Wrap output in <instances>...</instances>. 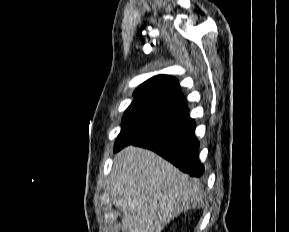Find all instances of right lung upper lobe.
<instances>
[{"label": "right lung upper lobe", "mask_w": 289, "mask_h": 232, "mask_svg": "<svg viewBox=\"0 0 289 232\" xmlns=\"http://www.w3.org/2000/svg\"><path fill=\"white\" fill-rule=\"evenodd\" d=\"M137 103H147L163 108L181 111L185 114L186 107L183 95L179 91L177 80L168 75H158L140 85L134 92Z\"/></svg>", "instance_id": "cb5924a9"}]
</instances>
